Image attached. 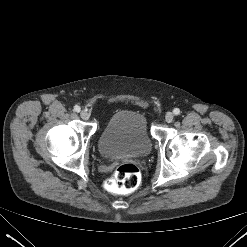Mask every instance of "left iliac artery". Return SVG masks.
I'll list each match as a JSON object with an SVG mask.
<instances>
[{"label": "left iliac artery", "instance_id": "44dca946", "mask_svg": "<svg viewBox=\"0 0 247 247\" xmlns=\"http://www.w3.org/2000/svg\"><path fill=\"white\" fill-rule=\"evenodd\" d=\"M173 113H174L175 115H179V114H180V109L175 108V109L173 110Z\"/></svg>", "mask_w": 247, "mask_h": 247}]
</instances>
